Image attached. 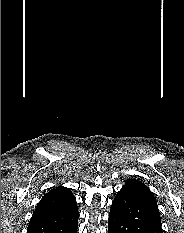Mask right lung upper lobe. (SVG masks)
I'll return each instance as SVG.
<instances>
[{"label": "right lung upper lobe", "mask_w": 184, "mask_h": 233, "mask_svg": "<svg viewBox=\"0 0 184 233\" xmlns=\"http://www.w3.org/2000/svg\"><path fill=\"white\" fill-rule=\"evenodd\" d=\"M76 199L66 187L58 186L46 193L38 203L32 217L48 214L62 209L74 207Z\"/></svg>", "instance_id": "right-lung-upper-lobe-1"}]
</instances>
